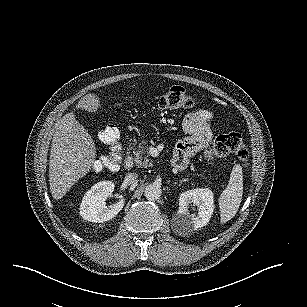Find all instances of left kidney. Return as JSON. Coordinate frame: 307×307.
I'll list each match as a JSON object with an SVG mask.
<instances>
[{"mask_svg": "<svg viewBox=\"0 0 307 307\" xmlns=\"http://www.w3.org/2000/svg\"><path fill=\"white\" fill-rule=\"evenodd\" d=\"M214 194L209 188H196L180 194L179 208L174 218L178 225L176 231L190 232L208 224L214 211ZM193 204L198 214H191L189 207Z\"/></svg>", "mask_w": 307, "mask_h": 307, "instance_id": "1", "label": "left kidney"}]
</instances>
